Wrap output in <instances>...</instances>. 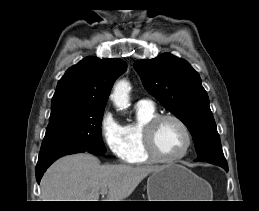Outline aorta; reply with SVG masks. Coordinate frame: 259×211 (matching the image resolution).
Listing matches in <instances>:
<instances>
[{"label": "aorta", "mask_w": 259, "mask_h": 211, "mask_svg": "<svg viewBox=\"0 0 259 211\" xmlns=\"http://www.w3.org/2000/svg\"><path fill=\"white\" fill-rule=\"evenodd\" d=\"M130 85L127 81L121 80L114 86L111 99L118 110H125L129 106Z\"/></svg>", "instance_id": "762f6f07"}]
</instances>
